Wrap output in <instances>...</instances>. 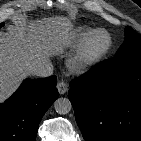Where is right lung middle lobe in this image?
I'll list each match as a JSON object with an SVG mask.
<instances>
[{
  "mask_svg": "<svg viewBox=\"0 0 141 141\" xmlns=\"http://www.w3.org/2000/svg\"><path fill=\"white\" fill-rule=\"evenodd\" d=\"M4 25V23H0V28Z\"/></svg>",
  "mask_w": 141,
  "mask_h": 141,
  "instance_id": "dd1d6c3e",
  "label": "right lung middle lobe"
}]
</instances>
